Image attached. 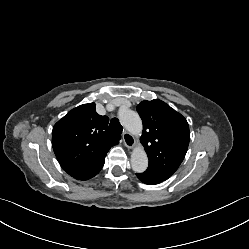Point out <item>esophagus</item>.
Instances as JSON below:
<instances>
[{
    "instance_id": "1",
    "label": "esophagus",
    "mask_w": 249,
    "mask_h": 249,
    "mask_svg": "<svg viewBox=\"0 0 249 249\" xmlns=\"http://www.w3.org/2000/svg\"><path fill=\"white\" fill-rule=\"evenodd\" d=\"M123 142L127 148H134L136 145L135 138L128 132L122 134Z\"/></svg>"
}]
</instances>
